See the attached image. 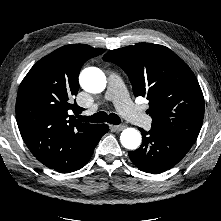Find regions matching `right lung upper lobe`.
<instances>
[{
    "instance_id": "1",
    "label": "right lung upper lobe",
    "mask_w": 221,
    "mask_h": 221,
    "mask_svg": "<svg viewBox=\"0 0 221 221\" xmlns=\"http://www.w3.org/2000/svg\"><path fill=\"white\" fill-rule=\"evenodd\" d=\"M104 52L85 44L65 45L39 60L23 79L16 118L32 154L54 170L72 164L97 136L101 124L81 123L83 108L70 99L79 90L82 65Z\"/></svg>"
}]
</instances>
